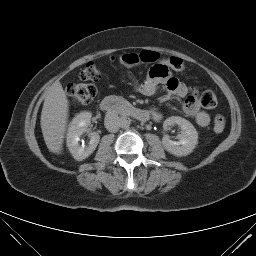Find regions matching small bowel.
<instances>
[{
	"mask_svg": "<svg viewBox=\"0 0 256 256\" xmlns=\"http://www.w3.org/2000/svg\"><path fill=\"white\" fill-rule=\"evenodd\" d=\"M129 78L134 89L145 96L153 95L158 85L163 84L166 87L168 97H184L182 102L183 112L194 117L199 126L206 127L210 124V116L201 108L197 91L190 89L175 78L170 72V67L164 61L154 65L149 71L147 78L142 82L137 81L132 76ZM152 113L154 116H159L158 110L155 107L152 108Z\"/></svg>",
	"mask_w": 256,
	"mask_h": 256,
	"instance_id": "small-bowel-1",
	"label": "small bowel"
}]
</instances>
